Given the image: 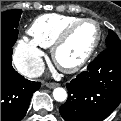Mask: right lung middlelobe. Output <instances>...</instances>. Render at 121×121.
<instances>
[{
  "label": "right lung middle lobe",
  "mask_w": 121,
  "mask_h": 121,
  "mask_svg": "<svg viewBox=\"0 0 121 121\" xmlns=\"http://www.w3.org/2000/svg\"><path fill=\"white\" fill-rule=\"evenodd\" d=\"M22 10L14 9L1 13V46L12 47L18 37V23Z\"/></svg>",
  "instance_id": "1"
}]
</instances>
